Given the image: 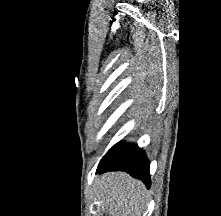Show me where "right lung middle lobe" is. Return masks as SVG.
<instances>
[{
	"label": "right lung middle lobe",
	"instance_id": "right-lung-middle-lobe-1",
	"mask_svg": "<svg viewBox=\"0 0 221 216\" xmlns=\"http://www.w3.org/2000/svg\"><path fill=\"white\" fill-rule=\"evenodd\" d=\"M133 144H125L123 142H118L117 144H115L108 152L107 154L102 158V160L100 161V164H105L108 161H110L111 159H113L115 156H117L118 154L122 153L123 151H125L126 149H128L129 147H131ZM99 164V165H100Z\"/></svg>",
	"mask_w": 221,
	"mask_h": 216
}]
</instances>
